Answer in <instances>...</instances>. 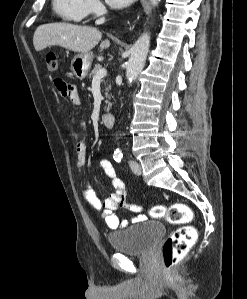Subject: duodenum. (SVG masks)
Listing matches in <instances>:
<instances>
[{"label": "duodenum", "instance_id": "1", "mask_svg": "<svg viewBox=\"0 0 247 299\" xmlns=\"http://www.w3.org/2000/svg\"><path fill=\"white\" fill-rule=\"evenodd\" d=\"M102 123L107 127V128H112L115 123V117L112 113H104L101 116Z\"/></svg>", "mask_w": 247, "mask_h": 299}]
</instances>
